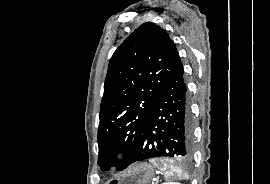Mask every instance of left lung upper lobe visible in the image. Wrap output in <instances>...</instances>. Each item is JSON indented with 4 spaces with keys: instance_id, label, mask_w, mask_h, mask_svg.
<instances>
[{
    "instance_id": "5c2ea615",
    "label": "left lung upper lobe",
    "mask_w": 270,
    "mask_h": 184,
    "mask_svg": "<svg viewBox=\"0 0 270 184\" xmlns=\"http://www.w3.org/2000/svg\"><path fill=\"white\" fill-rule=\"evenodd\" d=\"M181 62L175 43L147 22L114 52L104 84L98 164L123 170L133 157L163 87ZM119 151L125 156L116 160Z\"/></svg>"
}]
</instances>
